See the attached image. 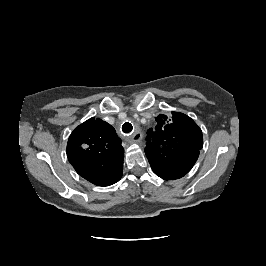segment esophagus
Listing matches in <instances>:
<instances>
[{"instance_id":"esophagus-1","label":"esophagus","mask_w":266,"mask_h":266,"mask_svg":"<svg viewBox=\"0 0 266 266\" xmlns=\"http://www.w3.org/2000/svg\"><path fill=\"white\" fill-rule=\"evenodd\" d=\"M133 142H140L142 140V133L137 131L131 137Z\"/></svg>"}]
</instances>
